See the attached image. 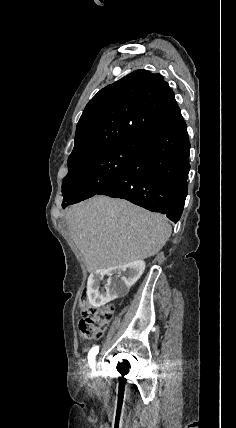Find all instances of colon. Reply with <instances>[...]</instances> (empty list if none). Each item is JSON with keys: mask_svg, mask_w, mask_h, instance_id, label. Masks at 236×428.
Segmentation results:
<instances>
[{"mask_svg": "<svg viewBox=\"0 0 236 428\" xmlns=\"http://www.w3.org/2000/svg\"><path fill=\"white\" fill-rule=\"evenodd\" d=\"M80 310L83 319L79 323V335L83 340L99 339L110 321L114 308L112 306L94 307L88 302V292L83 289L80 294Z\"/></svg>", "mask_w": 236, "mask_h": 428, "instance_id": "1", "label": "colon"}]
</instances>
